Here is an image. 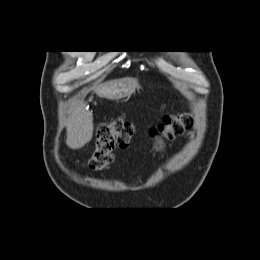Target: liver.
Returning a JSON list of instances; mask_svg holds the SVG:
<instances>
[{
    "mask_svg": "<svg viewBox=\"0 0 260 260\" xmlns=\"http://www.w3.org/2000/svg\"><path fill=\"white\" fill-rule=\"evenodd\" d=\"M116 81H109L96 88L99 96L113 99L111 91ZM66 144L71 149H79L91 141L93 137V116L86 110V103H77L71 112L70 121L67 125Z\"/></svg>",
    "mask_w": 260,
    "mask_h": 260,
    "instance_id": "liver-1",
    "label": "liver"
}]
</instances>
